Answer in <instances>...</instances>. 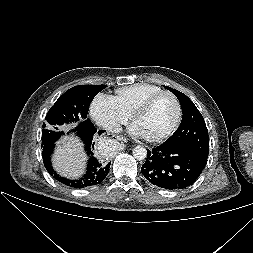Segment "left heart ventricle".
Returning a JSON list of instances; mask_svg holds the SVG:
<instances>
[{"label": "left heart ventricle", "mask_w": 253, "mask_h": 253, "mask_svg": "<svg viewBox=\"0 0 253 253\" xmlns=\"http://www.w3.org/2000/svg\"><path fill=\"white\" fill-rule=\"evenodd\" d=\"M175 116L176 107L173 99L168 95H164L136 120L135 125L140 128L146 137H157L169 129Z\"/></svg>", "instance_id": "b2bd125f"}]
</instances>
